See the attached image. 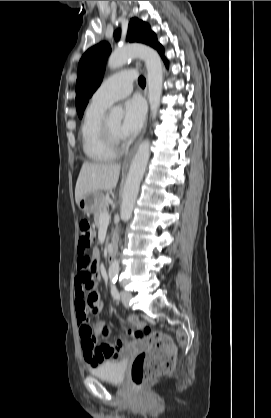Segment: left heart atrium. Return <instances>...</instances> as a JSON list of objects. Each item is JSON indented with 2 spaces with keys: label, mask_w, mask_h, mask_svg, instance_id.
Wrapping results in <instances>:
<instances>
[{
  "label": "left heart atrium",
  "mask_w": 271,
  "mask_h": 418,
  "mask_svg": "<svg viewBox=\"0 0 271 418\" xmlns=\"http://www.w3.org/2000/svg\"><path fill=\"white\" fill-rule=\"evenodd\" d=\"M145 119V105L140 98L129 99L124 105V119L121 124L120 134L132 137L141 129Z\"/></svg>",
  "instance_id": "39dd6f15"
}]
</instances>
